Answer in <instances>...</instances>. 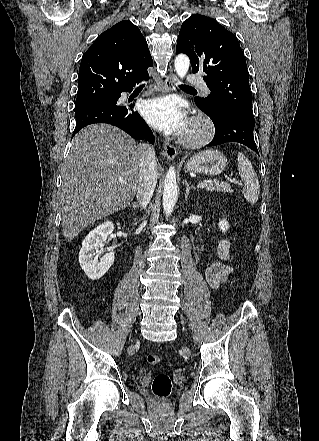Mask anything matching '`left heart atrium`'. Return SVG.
I'll use <instances>...</instances> for the list:
<instances>
[{
    "instance_id": "obj_1",
    "label": "left heart atrium",
    "mask_w": 319,
    "mask_h": 441,
    "mask_svg": "<svg viewBox=\"0 0 319 441\" xmlns=\"http://www.w3.org/2000/svg\"><path fill=\"white\" fill-rule=\"evenodd\" d=\"M141 113L150 125L165 133L178 134L186 129L185 114L171 97L146 100L141 105Z\"/></svg>"
}]
</instances>
